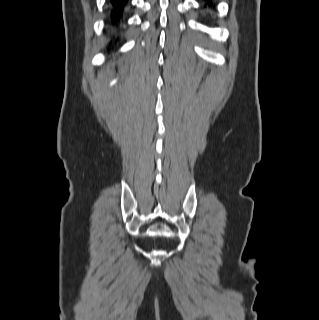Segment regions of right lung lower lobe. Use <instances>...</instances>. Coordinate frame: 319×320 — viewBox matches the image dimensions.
<instances>
[{
    "label": "right lung lower lobe",
    "instance_id": "obj_1",
    "mask_svg": "<svg viewBox=\"0 0 319 320\" xmlns=\"http://www.w3.org/2000/svg\"><path fill=\"white\" fill-rule=\"evenodd\" d=\"M128 0H110L112 10L111 17L113 24H116L119 21V18L122 15V8L125 6Z\"/></svg>",
    "mask_w": 319,
    "mask_h": 320
}]
</instances>
